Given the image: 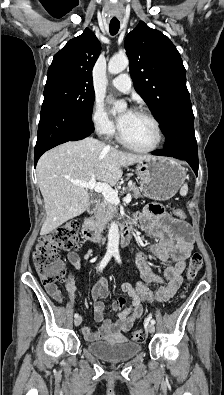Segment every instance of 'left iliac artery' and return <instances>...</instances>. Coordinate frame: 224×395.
Segmentation results:
<instances>
[{
    "instance_id": "left-iliac-artery-1",
    "label": "left iliac artery",
    "mask_w": 224,
    "mask_h": 395,
    "mask_svg": "<svg viewBox=\"0 0 224 395\" xmlns=\"http://www.w3.org/2000/svg\"><path fill=\"white\" fill-rule=\"evenodd\" d=\"M113 255H114L116 261H117L118 263L121 264V257H120L119 251H118V250H115V251L113 252ZM148 320H150V322H151L152 324H155V320L152 318V315H151V314L148 316Z\"/></svg>"
}]
</instances>
